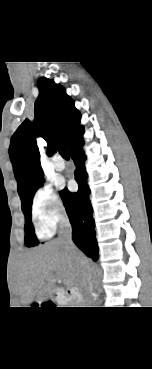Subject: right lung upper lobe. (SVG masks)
Masks as SVG:
<instances>
[{"mask_svg": "<svg viewBox=\"0 0 152 369\" xmlns=\"http://www.w3.org/2000/svg\"><path fill=\"white\" fill-rule=\"evenodd\" d=\"M38 87L34 122L26 119L13 134L9 147L21 201L44 177L36 137L47 140V155L51 156L59 144L64 143L69 148L83 132L81 115L65 89L44 77L39 79Z\"/></svg>", "mask_w": 152, "mask_h": 369, "instance_id": "1", "label": "right lung upper lobe"}]
</instances>
